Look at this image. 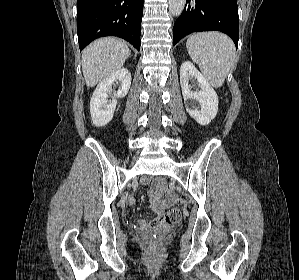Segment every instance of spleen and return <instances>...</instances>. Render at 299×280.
Returning <instances> with one entry per match:
<instances>
[{
	"mask_svg": "<svg viewBox=\"0 0 299 280\" xmlns=\"http://www.w3.org/2000/svg\"><path fill=\"white\" fill-rule=\"evenodd\" d=\"M186 47L205 79L213 87H221L230 67L236 61L233 41L223 33H197L188 38Z\"/></svg>",
	"mask_w": 299,
	"mask_h": 280,
	"instance_id": "1",
	"label": "spleen"
}]
</instances>
